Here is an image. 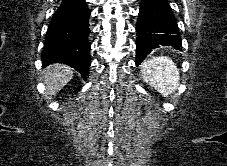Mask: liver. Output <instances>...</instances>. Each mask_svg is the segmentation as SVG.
<instances>
[{"instance_id":"obj_1","label":"liver","mask_w":227,"mask_h":166,"mask_svg":"<svg viewBox=\"0 0 227 166\" xmlns=\"http://www.w3.org/2000/svg\"><path fill=\"white\" fill-rule=\"evenodd\" d=\"M74 70L61 63L50 65L44 70V81L50 95L58 93L73 77Z\"/></svg>"}]
</instances>
